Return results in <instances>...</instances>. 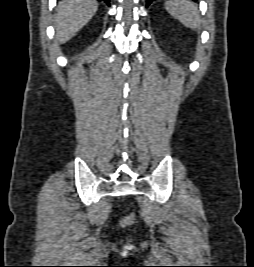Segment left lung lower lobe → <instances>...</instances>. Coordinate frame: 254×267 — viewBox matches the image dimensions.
I'll use <instances>...</instances> for the list:
<instances>
[{"label": "left lung lower lobe", "instance_id": "obj_1", "mask_svg": "<svg viewBox=\"0 0 254 267\" xmlns=\"http://www.w3.org/2000/svg\"><path fill=\"white\" fill-rule=\"evenodd\" d=\"M154 0H147V4L146 6L150 5ZM193 1H196V0H193Z\"/></svg>", "mask_w": 254, "mask_h": 267}]
</instances>
